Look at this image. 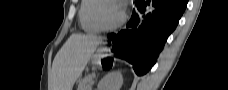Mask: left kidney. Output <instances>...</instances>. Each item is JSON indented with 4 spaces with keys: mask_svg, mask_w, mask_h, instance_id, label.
I'll use <instances>...</instances> for the list:
<instances>
[{
    "mask_svg": "<svg viewBox=\"0 0 228 90\" xmlns=\"http://www.w3.org/2000/svg\"><path fill=\"white\" fill-rule=\"evenodd\" d=\"M123 84L121 72H112L104 76L98 84V90H120Z\"/></svg>",
    "mask_w": 228,
    "mask_h": 90,
    "instance_id": "1",
    "label": "left kidney"
}]
</instances>
